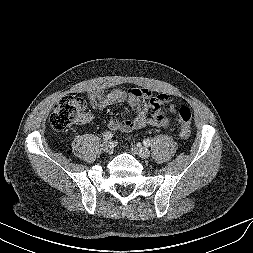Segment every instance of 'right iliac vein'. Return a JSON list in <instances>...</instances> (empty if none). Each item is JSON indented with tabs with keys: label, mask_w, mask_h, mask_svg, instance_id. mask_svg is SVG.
Returning <instances> with one entry per match:
<instances>
[{
	"label": "right iliac vein",
	"mask_w": 253,
	"mask_h": 253,
	"mask_svg": "<svg viewBox=\"0 0 253 253\" xmlns=\"http://www.w3.org/2000/svg\"><path fill=\"white\" fill-rule=\"evenodd\" d=\"M113 148H114V146H113V143L111 141H104L102 143V149L107 154H111L112 151H113Z\"/></svg>",
	"instance_id": "right-iliac-vein-1"
}]
</instances>
